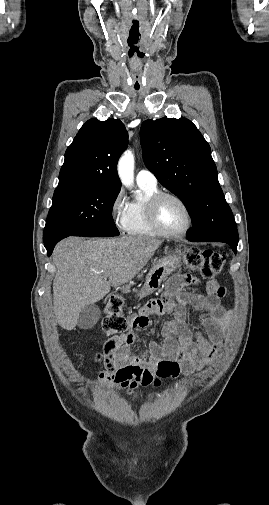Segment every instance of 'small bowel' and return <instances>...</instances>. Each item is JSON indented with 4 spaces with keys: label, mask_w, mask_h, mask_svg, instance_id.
Returning a JSON list of instances; mask_svg holds the SVG:
<instances>
[{
    "label": "small bowel",
    "mask_w": 269,
    "mask_h": 505,
    "mask_svg": "<svg viewBox=\"0 0 269 505\" xmlns=\"http://www.w3.org/2000/svg\"><path fill=\"white\" fill-rule=\"evenodd\" d=\"M197 279L201 274L194 271ZM206 295H177L180 288L197 283L193 277L181 275L175 277L169 285L171 298H155L154 304H145L137 314H131L132 329L124 335L110 339L96 360L103 363L104 370L99 377L110 388L125 389L131 395L140 385L160 377H177L181 373L190 375L211 364L221 346L223 333L230 320V312L221 304L225 289L215 281H203ZM202 311L200 317L204 332L192 333L186 325V306ZM174 315V321L164 323L161 334L166 337L164 346L153 345L150 353L131 354L136 329L153 325L150 315Z\"/></svg>",
    "instance_id": "c3829d8e"
}]
</instances>
